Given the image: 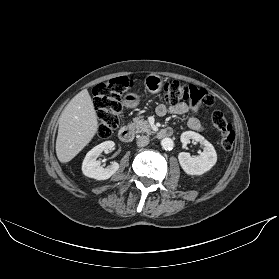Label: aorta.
I'll return each mask as SVG.
<instances>
[{"instance_id": "aorta-1", "label": "aorta", "mask_w": 279, "mask_h": 279, "mask_svg": "<svg viewBox=\"0 0 279 279\" xmlns=\"http://www.w3.org/2000/svg\"><path fill=\"white\" fill-rule=\"evenodd\" d=\"M161 146L165 150H172L174 147L173 140L170 138H164L161 140Z\"/></svg>"}]
</instances>
